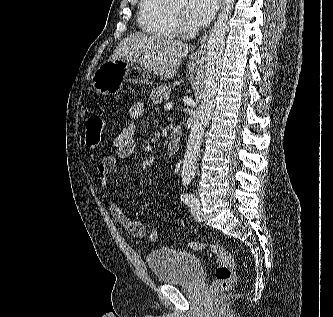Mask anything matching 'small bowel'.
<instances>
[{"label": "small bowel", "mask_w": 333, "mask_h": 317, "mask_svg": "<svg viewBox=\"0 0 333 317\" xmlns=\"http://www.w3.org/2000/svg\"><path fill=\"white\" fill-rule=\"evenodd\" d=\"M145 105L138 101L133 103L128 110V124L113 139L112 145L116 150V155L104 157L97 167V180L100 189L105 193L109 210L114 221L122 226L130 235L141 238L146 235V226L140 221L127 216L117 202L108 193L110 176L117 167L119 160L128 159L136 148V122L143 115Z\"/></svg>", "instance_id": "small-bowel-1"}]
</instances>
